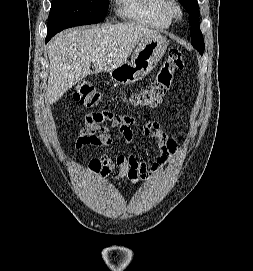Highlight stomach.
<instances>
[{
  "label": "stomach",
  "instance_id": "0dacf381",
  "mask_svg": "<svg viewBox=\"0 0 253 271\" xmlns=\"http://www.w3.org/2000/svg\"><path fill=\"white\" fill-rule=\"evenodd\" d=\"M167 45L166 38L160 34L143 38L135 49L131 60L110 71L112 81L128 85L142 79L163 57Z\"/></svg>",
  "mask_w": 253,
  "mask_h": 271
}]
</instances>
